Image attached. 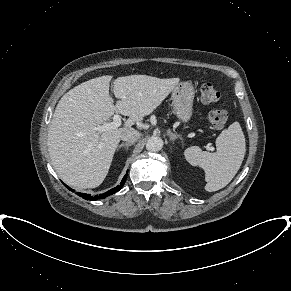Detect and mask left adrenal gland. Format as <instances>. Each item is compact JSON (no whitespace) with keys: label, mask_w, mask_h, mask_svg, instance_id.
<instances>
[{"label":"left adrenal gland","mask_w":291,"mask_h":291,"mask_svg":"<svg viewBox=\"0 0 291 291\" xmlns=\"http://www.w3.org/2000/svg\"><path fill=\"white\" fill-rule=\"evenodd\" d=\"M167 135L170 138V141L180 138V135L172 133L170 130L167 131Z\"/></svg>","instance_id":"obj_1"}]
</instances>
